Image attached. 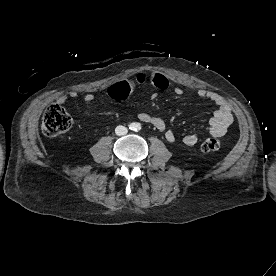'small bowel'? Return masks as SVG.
<instances>
[{
  "label": "small bowel",
  "instance_id": "c3829d8e",
  "mask_svg": "<svg viewBox=\"0 0 276 276\" xmlns=\"http://www.w3.org/2000/svg\"><path fill=\"white\" fill-rule=\"evenodd\" d=\"M147 83L160 90H165L169 87V81L163 74L156 71L150 73L140 72L129 80L113 85L108 94L113 99H123L138 87ZM173 92L176 95H181L183 90L180 87H174ZM196 93L199 97L206 98L216 105V110L213 112L209 120L208 132L215 137L224 136L230 125L233 123V115L229 103L224 97L214 91L199 88ZM76 97L77 93L75 91H70L60 95L57 98V102L63 104ZM94 101L95 96L91 93L85 95L82 100L83 104L87 107H90ZM138 118L140 121L148 123L158 131L162 132L168 142L173 143L176 141L175 133L167 128L165 122L161 118L152 116L145 112L139 113ZM182 141L187 146H193L197 143L198 137L195 134H187L183 137Z\"/></svg>",
  "mask_w": 276,
  "mask_h": 276
}]
</instances>
